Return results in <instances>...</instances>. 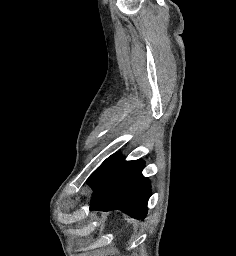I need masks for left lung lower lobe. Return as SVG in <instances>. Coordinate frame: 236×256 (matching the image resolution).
Instances as JSON below:
<instances>
[{
  "mask_svg": "<svg viewBox=\"0 0 236 256\" xmlns=\"http://www.w3.org/2000/svg\"><path fill=\"white\" fill-rule=\"evenodd\" d=\"M142 160H118L112 172L103 183L94 190L90 210H121L136 219L147 214V202L151 195V186L142 175Z\"/></svg>",
  "mask_w": 236,
  "mask_h": 256,
  "instance_id": "1",
  "label": "left lung lower lobe"
}]
</instances>
